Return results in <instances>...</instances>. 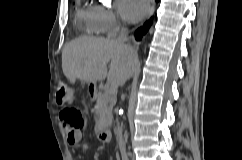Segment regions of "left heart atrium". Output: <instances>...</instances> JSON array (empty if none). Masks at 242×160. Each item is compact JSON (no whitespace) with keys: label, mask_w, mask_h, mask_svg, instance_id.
<instances>
[{"label":"left heart atrium","mask_w":242,"mask_h":160,"mask_svg":"<svg viewBox=\"0 0 242 160\" xmlns=\"http://www.w3.org/2000/svg\"><path fill=\"white\" fill-rule=\"evenodd\" d=\"M150 0H116L120 16L129 23L141 20L148 12Z\"/></svg>","instance_id":"left-heart-atrium-1"}]
</instances>
